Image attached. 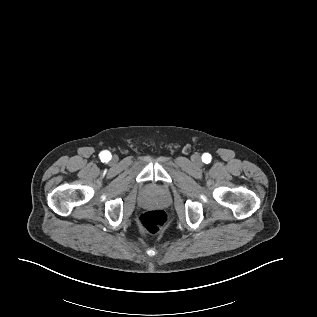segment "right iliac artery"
<instances>
[{
    "instance_id": "1",
    "label": "right iliac artery",
    "mask_w": 317,
    "mask_h": 317,
    "mask_svg": "<svg viewBox=\"0 0 317 317\" xmlns=\"http://www.w3.org/2000/svg\"><path fill=\"white\" fill-rule=\"evenodd\" d=\"M100 158L103 162H107L111 159V154L108 151H102L100 153Z\"/></svg>"
}]
</instances>
